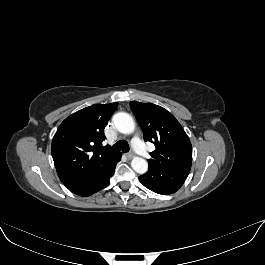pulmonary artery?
<instances>
[{
	"label": "pulmonary artery",
	"mask_w": 265,
	"mask_h": 265,
	"mask_svg": "<svg viewBox=\"0 0 265 265\" xmlns=\"http://www.w3.org/2000/svg\"><path fill=\"white\" fill-rule=\"evenodd\" d=\"M132 146L136 152L142 156H148L149 150L145 147L143 141L139 137H134L132 140Z\"/></svg>",
	"instance_id": "1"
}]
</instances>
